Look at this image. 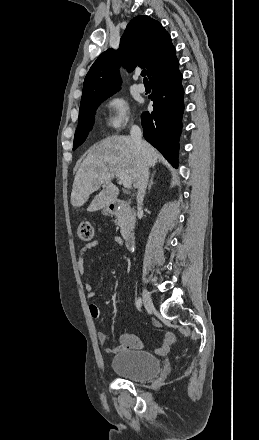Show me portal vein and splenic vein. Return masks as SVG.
<instances>
[{"label": "portal vein and splenic vein", "mask_w": 259, "mask_h": 440, "mask_svg": "<svg viewBox=\"0 0 259 440\" xmlns=\"http://www.w3.org/2000/svg\"><path fill=\"white\" fill-rule=\"evenodd\" d=\"M117 178L120 179L121 183L123 184V186L127 189L131 188L132 185V178L130 175H128L127 173L121 172L115 175Z\"/></svg>", "instance_id": "portal-vein-and-splenic-vein-1"}]
</instances>
